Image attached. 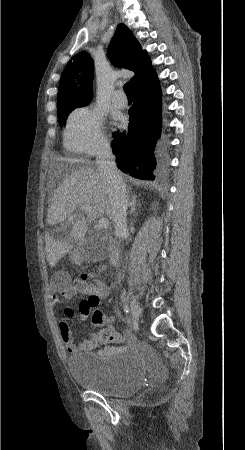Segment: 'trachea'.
<instances>
[{
  "label": "trachea",
  "instance_id": "1",
  "mask_svg": "<svg viewBox=\"0 0 245 450\" xmlns=\"http://www.w3.org/2000/svg\"><path fill=\"white\" fill-rule=\"evenodd\" d=\"M124 91H125V93H126L127 95H130V96H131L130 83H126V84L124 85Z\"/></svg>",
  "mask_w": 245,
  "mask_h": 450
}]
</instances>
